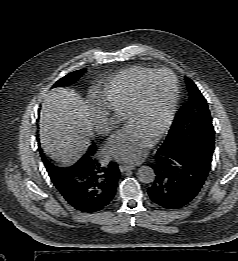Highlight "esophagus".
<instances>
[{"label": "esophagus", "mask_w": 238, "mask_h": 261, "mask_svg": "<svg viewBox=\"0 0 238 261\" xmlns=\"http://www.w3.org/2000/svg\"><path fill=\"white\" fill-rule=\"evenodd\" d=\"M134 168H135V166L130 165V164H121V165L119 166V169H120L121 172L133 170Z\"/></svg>", "instance_id": "1"}]
</instances>
